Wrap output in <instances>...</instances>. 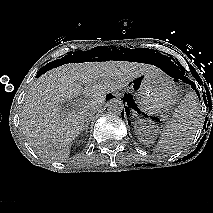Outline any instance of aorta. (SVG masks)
I'll list each match as a JSON object with an SVG mask.
<instances>
[{"instance_id": "1", "label": "aorta", "mask_w": 213, "mask_h": 213, "mask_svg": "<svg viewBox=\"0 0 213 213\" xmlns=\"http://www.w3.org/2000/svg\"><path fill=\"white\" fill-rule=\"evenodd\" d=\"M124 105L121 99L112 98L107 102V110L113 114H121Z\"/></svg>"}]
</instances>
